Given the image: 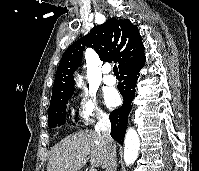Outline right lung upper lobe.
Wrapping results in <instances>:
<instances>
[{
  "instance_id": "cb5924a9",
  "label": "right lung upper lobe",
  "mask_w": 199,
  "mask_h": 171,
  "mask_svg": "<svg viewBox=\"0 0 199 171\" xmlns=\"http://www.w3.org/2000/svg\"><path fill=\"white\" fill-rule=\"evenodd\" d=\"M84 46L95 49L102 61L114 60L119 69L141 59L144 46L136 25L128 19L110 18L89 34L74 42L64 52L56 71L51 104L71 97L74 91L73 73L82 60Z\"/></svg>"
}]
</instances>
